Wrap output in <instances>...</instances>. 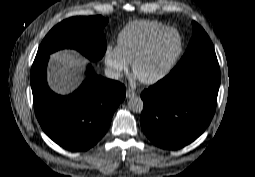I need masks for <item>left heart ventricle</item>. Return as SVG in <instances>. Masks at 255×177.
<instances>
[{"mask_svg": "<svg viewBox=\"0 0 255 177\" xmlns=\"http://www.w3.org/2000/svg\"><path fill=\"white\" fill-rule=\"evenodd\" d=\"M179 37L176 32H169L159 38L147 56L136 67V75L141 79L155 76L177 52Z\"/></svg>", "mask_w": 255, "mask_h": 177, "instance_id": "left-heart-ventricle-1", "label": "left heart ventricle"}]
</instances>
